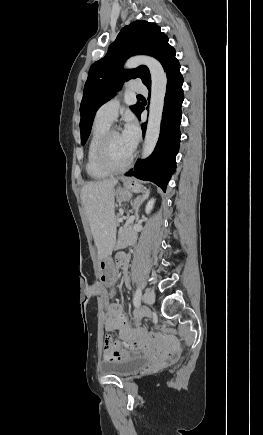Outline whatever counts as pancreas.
Instances as JSON below:
<instances>
[{
  "label": "pancreas",
  "mask_w": 263,
  "mask_h": 435,
  "mask_svg": "<svg viewBox=\"0 0 263 435\" xmlns=\"http://www.w3.org/2000/svg\"><path fill=\"white\" fill-rule=\"evenodd\" d=\"M133 223H130L128 227H121L118 232V241L116 244L117 249L125 248L127 245L134 242L137 235L133 231Z\"/></svg>",
  "instance_id": "cf45deb5"
}]
</instances>
